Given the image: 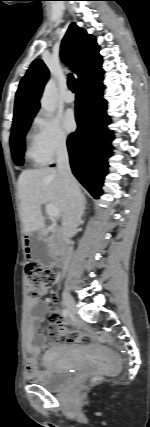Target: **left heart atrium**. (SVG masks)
<instances>
[{"label": "left heart atrium", "instance_id": "obj_1", "mask_svg": "<svg viewBox=\"0 0 150 427\" xmlns=\"http://www.w3.org/2000/svg\"><path fill=\"white\" fill-rule=\"evenodd\" d=\"M62 123L67 132H72L76 128V120L72 111H67L62 117Z\"/></svg>", "mask_w": 150, "mask_h": 427}]
</instances>
